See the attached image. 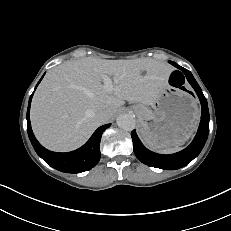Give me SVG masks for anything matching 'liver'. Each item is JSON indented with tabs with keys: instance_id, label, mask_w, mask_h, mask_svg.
<instances>
[{
	"instance_id": "liver-1",
	"label": "liver",
	"mask_w": 231,
	"mask_h": 231,
	"mask_svg": "<svg viewBox=\"0 0 231 231\" xmlns=\"http://www.w3.org/2000/svg\"><path fill=\"white\" fill-rule=\"evenodd\" d=\"M172 71L170 65L149 58L87 57L59 65L46 74L34 94L30 111L33 132L50 150H73L105 123L98 117L100 111H108L110 119L125 100L152 105ZM103 76L113 77L111 91L102 84Z\"/></svg>"
}]
</instances>
